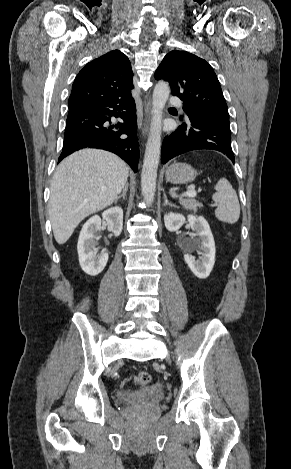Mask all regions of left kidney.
Wrapping results in <instances>:
<instances>
[{
    "label": "left kidney",
    "mask_w": 291,
    "mask_h": 469,
    "mask_svg": "<svg viewBox=\"0 0 291 469\" xmlns=\"http://www.w3.org/2000/svg\"><path fill=\"white\" fill-rule=\"evenodd\" d=\"M187 220L192 230L198 236L190 250L192 248L196 249L201 257L200 260H195L194 256L187 253L184 255V260L196 277L206 279L210 275L215 263L216 248L214 238L208 222L203 217L188 215ZM185 221L186 218L179 213L170 212L164 216L165 227L170 232L180 229Z\"/></svg>",
    "instance_id": "1"
}]
</instances>
